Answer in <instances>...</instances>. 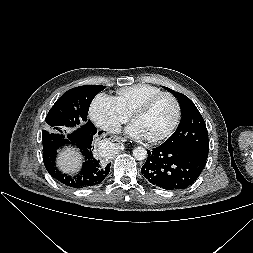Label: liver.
Returning <instances> with one entry per match:
<instances>
[{
  "mask_svg": "<svg viewBox=\"0 0 253 253\" xmlns=\"http://www.w3.org/2000/svg\"><path fill=\"white\" fill-rule=\"evenodd\" d=\"M57 165L66 173H74L81 166V156L74 149H67L60 153Z\"/></svg>",
  "mask_w": 253,
  "mask_h": 253,
  "instance_id": "6515ba94",
  "label": "liver"
}]
</instances>
